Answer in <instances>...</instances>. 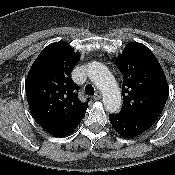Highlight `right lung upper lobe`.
I'll list each match as a JSON object with an SVG mask.
<instances>
[{"instance_id":"cb5924a9","label":"right lung upper lobe","mask_w":175,"mask_h":175,"mask_svg":"<svg viewBox=\"0 0 175 175\" xmlns=\"http://www.w3.org/2000/svg\"><path fill=\"white\" fill-rule=\"evenodd\" d=\"M79 59L68 44L55 42L42 50L28 73L29 108L46 131L73 126L85 116L87 102L79 100V87L71 79Z\"/></svg>"}]
</instances>
